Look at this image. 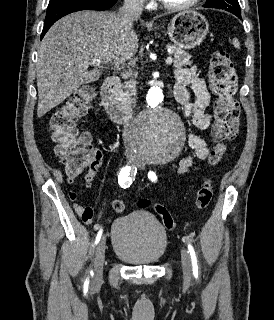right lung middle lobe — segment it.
Segmentation results:
<instances>
[{
  "instance_id": "obj_1",
  "label": "right lung middle lobe",
  "mask_w": 274,
  "mask_h": 320,
  "mask_svg": "<svg viewBox=\"0 0 274 320\" xmlns=\"http://www.w3.org/2000/svg\"><path fill=\"white\" fill-rule=\"evenodd\" d=\"M69 0H50L48 7L56 6Z\"/></svg>"
}]
</instances>
